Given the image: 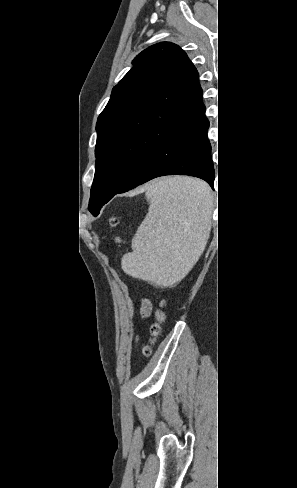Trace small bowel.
I'll return each mask as SVG.
<instances>
[{
  "label": "small bowel",
  "instance_id": "small-bowel-1",
  "mask_svg": "<svg viewBox=\"0 0 297 488\" xmlns=\"http://www.w3.org/2000/svg\"><path fill=\"white\" fill-rule=\"evenodd\" d=\"M152 309V303L149 300H143L141 305V313L144 316H148Z\"/></svg>",
  "mask_w": 297,
  "mask_h": 488
}]
</instances>
